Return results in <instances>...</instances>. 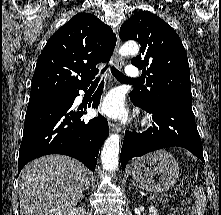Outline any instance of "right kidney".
<instances>
[{
  "label": "right kidney",
  "instance_id": "obj_1",
  "mask_svg": "<svg viewBox=\"0 0 221 215\" xmlns=\"http://www.w3.org/2000/svg\"><path fill=\"white\" fill-rule=\"evenodd\" d=\"M86 211L83 207H78L71 210L68 214L65 215H85Z\"/></svg>",
  "mask_w": 221,
  "mask_h": 215
}]
</instances>
